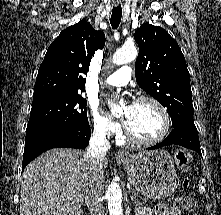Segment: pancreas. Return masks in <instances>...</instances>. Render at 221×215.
Listing matches in <instances>:
<instances>
[{
	"label": "pancreas",
	"mask_w": 221,
	"mask_h": 215,
	"mask_svg": "<svg viewBox=\"0 0 221 215\" xmlns=\"http://www.w3.org/2000/svg\"><path fill=\"white\" fill-rule=\"evenodd\" d=\"M133 196H135V198H136V199H135V204H136L137 206H141V205L147 203V201H148L147 198L141 197L140 194L137 193V192H135V193L133 194Z\"/></svg>",
	"instance_id": "1"
}]
</instances>
